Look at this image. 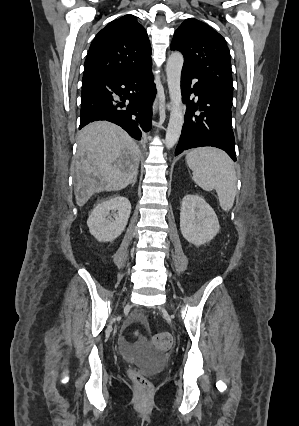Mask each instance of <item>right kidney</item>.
I'll return each mask as SVG.
<instances>
[{
	"instance_id": "right-kidney-1",
	"label": "right kidney",
	"mask_w": 299,
	"mask_h": 426,
	"mask_svg": "<svg viewBox=\"0 0 299 426\" xmlns=\"http://www.w3.org/2000/svg\"><path fill=\"white\" fill-rule=\"evenodd\" d=\"M130 212L131 204L124 196L115 195L100 202L93 209L87 220L91 235L100 242L115 240L124 231Z\"/></svg>"
}]
</instances>
